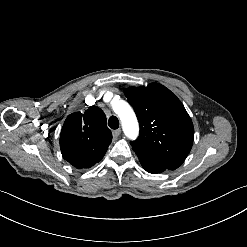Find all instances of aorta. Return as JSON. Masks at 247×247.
Masks as SVG:
<instances>
[{
    "label": "aorta",
    "instance_id": "1",
    "mask_svg": "<svg viewBox=\"0 0 247 247\" xmlns=\"http://www.w3.org/2000/svg\"><path fill=\"white\" fill-rule=\"evenodd\" d=\"M113 110L122 122L125 135L130 139H136L139 133V125L131 106L127 102L119 100L113 105Z\"/></svg>",
    "mask_w": 247,
    "mask_h": 247
}]
</instances>
